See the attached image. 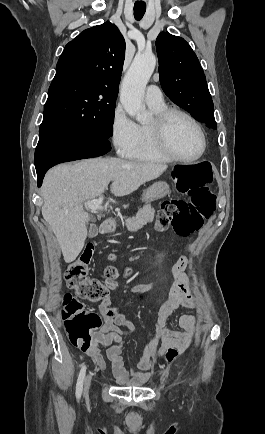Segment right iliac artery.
<instances>
[{"mask_svg": "<svg viewBox=\"0 0 265 434\" xmlns=\"http://www.w3.org/2000/svg\"><path fill=\"white\" fill-rule=\"evenodd\" d=\"M85 374H86V366L83 365L78 379H77V384H76V397L80 398L81 394H82V389H83V383H84V378H85Z\"/></svg>", "mask_w": 265, "mask_h": 434, "instance_id": "obj_1", "label": "right iliac artery"}]
</instances>
